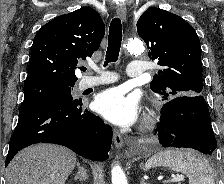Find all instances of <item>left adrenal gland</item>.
<instances>
[{"label":"left adrenal gland","instance_id":"a2214340","mask_svg":"<svg viewBox=\"0 0 224 184\" xmlns=\"http://www.w3.org/2000/svg\"><path fill=\"white\" fill-rule=\"evenodd\" d=\"M140 184H147L143 178H141Z\"/></svg>","mask_w":224,"mask_h":184}]
</instances>
